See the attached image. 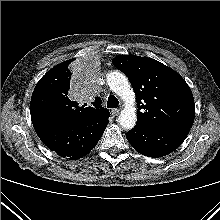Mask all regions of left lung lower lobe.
<instances>
[{
  "mask_svg": "<svg viewBox=\"0 0 220 220\" xmlns=\"http://www.w3.org/2000/svg\"><path fill=\"white\" fill-rule=\"evenodd\" d=\"M190 127L170 124L152 126L137 122L126 138L133 148L148 157H162L176 150L185 140Z\"/></svg>",
  "mask_w": 220,
  "mask_h": 220,
  "instance_id": "1",
  "label": "left lung lower lobe"
}]
</instances>
